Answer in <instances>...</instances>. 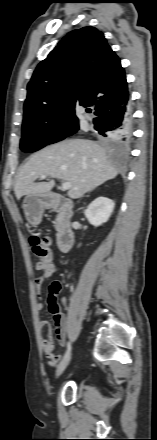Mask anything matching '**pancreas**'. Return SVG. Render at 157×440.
I'll return each mask as SVG.
<instances>
[{"label":"pancreas","mask_w":157,"mask_h":440,"mask_svg":"<svg viewBox=\"0 0 157 440\" xmlns=\"http://www.w3.org/2000/svg\"><path fill=\"white\" fill-rule=\"evenodd\" d=\"M55 227L56 228L58 227V221L57 220L55 221Z\"/></svg>","instance_id":"1"}]
</instances>
